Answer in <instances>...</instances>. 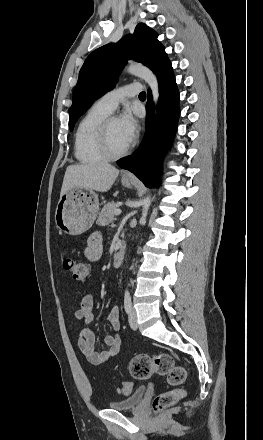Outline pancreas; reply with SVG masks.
<instances>
[{
  "label": "pancreas",
  "instance_id": "obj_1",
  "mask_svg": "<svg viewBox=\"0 0 263 440\" xmlns=\"http://www.w3.org/2000/svg\"><path fill=\"white\" fill-rule=\"evenodd\" d=\"M117 210L114 202L107 203L99 213L96 223L100 226L108 225L114 219V213Z\"/></svg>",
  "mask_w": 263,
  "mask_h": 440
}]
</instances>
